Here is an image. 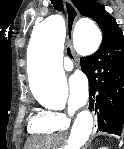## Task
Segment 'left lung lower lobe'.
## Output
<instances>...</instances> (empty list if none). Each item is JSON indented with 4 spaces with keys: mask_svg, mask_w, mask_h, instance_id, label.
Wrapping results in <instances>:
<instances>
[{
    "mask_svg": "<svg viewBox=\"0 0 124 149\" xmlns=\"http://www.w3.org/2000/svg\"><path fill=\"white\" fill-rule=\"evenodd\" d=\"M90 86L89 109L95 107L97 130L121 135L124 124V37L101 43L81 58Z\"/></svg>",
    "mask_w": 124,
    "mask_h": 149,
    "instance_id": "obj_1",
    "label": "left lung lower lobe"
}]
</instances>
